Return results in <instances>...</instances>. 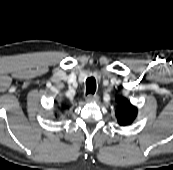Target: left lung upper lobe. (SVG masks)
Returning a JSON list of instances; mask_svg holds the SVG:
<instances>
[{"instance_id": "left-lung-upper-lobe-1", "label": "left lung upper lobe", "mask_w": 173, "mask_h": 170, "mask_svg": "<svg viewBox=\"0 0 173 170\" xmlns=\"http://www.w3.org/2000/svg\"><path fill=\"white\" fill-rule=\"evenodd\" d=\"M118 107L116 110V116L118 123L121 126L131 124L137 115V108L133 106L126 98H117Z\"/></svg>"}]
</instances>
